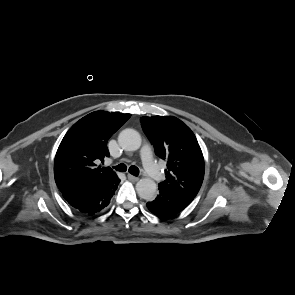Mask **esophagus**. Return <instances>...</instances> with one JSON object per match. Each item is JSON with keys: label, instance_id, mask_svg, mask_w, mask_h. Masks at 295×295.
<instances>
[{"label": "esophagus", "instance_id": "obj_1", "mask_svg": "<svg viewBox=\"0 0 295 295\" xmlns=\"http://www.w3.org/2000/svg\"><path fill=\"white\" fill-rule=\"evenodd\" d=\"M127 177H128V179H129L130 181H138V180H139L138 177L133 176V175H131V174H128Z\"/></svg>", "mask_w": 295, "mask_h": 295}]
</instances>
